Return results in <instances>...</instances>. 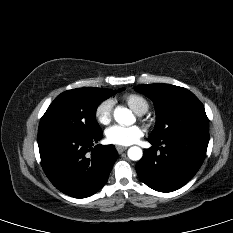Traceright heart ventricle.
<instances>
[{
	"instance_id": "obj_1",
	"label": "right heart ventricle",
	"mask_w": 233,
	"mask_h": 233,
	"mask_svg": "<svg viewBox=\"0 0 233 233\" xmlns=\"http://www.w3.org/2000/svg\"><path fill=\"white\" fill-rule=\"evenodd\" d=\"M127 105L138 115L146 113L149 109V102L142 95L131 93L124 96Z\"/></svg>"
}]
</instances>
